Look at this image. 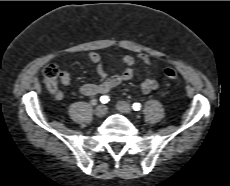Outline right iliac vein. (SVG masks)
I'll use <instances>...</instances> for the list:
<instances>
[{
  "mask_svg": "<svg viewBox=\"0 0 230 186\" xmlns=\"http://www.w3.org/2000/svg\"><path fill=\"white\" fill-rule=\"evenodd\" d=\"M107 113V107L103 104L99 105L95 109V115L97 117H103Z\"/></svg>",
  "mask_w": 230,
  "mask_h": 186,
  "instance_id": "1",
  "label": "right iliac vein"
}]
</instances>
